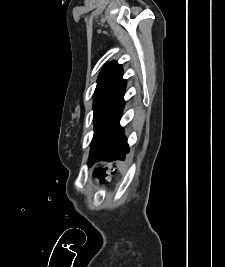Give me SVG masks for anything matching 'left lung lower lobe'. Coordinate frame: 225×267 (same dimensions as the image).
<instances>
[{
  "mask_svg": "<svg viewBox=\"0 0 225 267\" xmlns=\"http://www.w3.org/2000/svg\"><path fill=\"white\" fill-rule=\"evenodd\" d=\"M123 106L124 101L120 106L112 129L92 165L96 162H111L114 160H124L125 155L129 152L127 140L123 135V128L119 124Z\"/></svg>",
  "mask_w": 225,
  "mask_h": 267,
  "instance_id": "left-lung-lower-lobe-1",
  "label": "left lung lower lobe"
}]
</instances>
